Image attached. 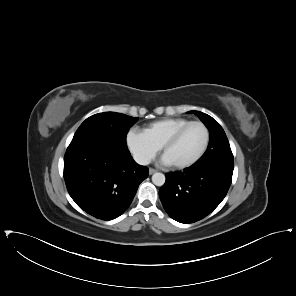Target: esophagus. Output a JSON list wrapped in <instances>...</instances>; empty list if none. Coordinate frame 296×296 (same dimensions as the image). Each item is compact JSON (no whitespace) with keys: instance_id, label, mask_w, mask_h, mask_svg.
I'll return each mask as SVG.
<instances>
[{"instance_id":"34e87169","label":"esophagus","mask_w":296,"mask_h":296,"mask_svg":"<svg viewBox=\"0 0 296 296\" xmlns=\"http://www.w3.org/2000/svg\"><path fill=\"white\" fill-rule=\"evenodd\" d=\"M157 170L154 168H149V174L152 175L156 172Z\"/></svg>"}]
</instances>
